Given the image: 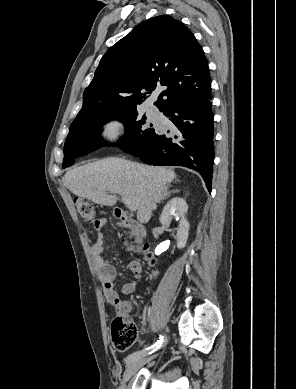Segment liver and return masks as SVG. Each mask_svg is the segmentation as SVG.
I'll list each match as a JSON object with an SVG mask.
<instances>
[{
	"label": "liver",
	"instance_id": "1",
	"mask_svg": "<svg viewBox=\"0 0 296 389\" xmlns=\"http://www.w3.org/2000/svg\"><path fill=\"white\" fill-rule=\"evenodd\" d=\"M176 177L174 171L164 167L110 157L75 167L62 181L74 195L100 205H115L118 197L111 194H119L135 204L137 220L147 223Z\"/></svg>",
	"mask_w": 296,
	"mask_h": 389
}]
</instances>
